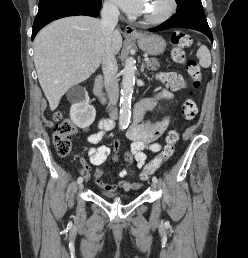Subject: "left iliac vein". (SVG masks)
Segmentation results:
<instances>
[{"mask_svg": "<svg viewBox=\"0 0 248 258\" xmlns=\"http://www.w3.org/2000/svg\"><path fill=\"white\" fill-rule=\"evenodd\" d=\"M151 186H152L153 189H155V190L157 189V184L155 182H152Z\"/></svg>", "mask_w": 248, "mask_h": 258, "instance_id": "obj_1", "label": "left iliac vein"}]
</instances>
